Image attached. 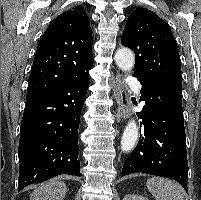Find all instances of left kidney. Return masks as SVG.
Segmentation results:
<instances>
[{
  "instance_id": "5707ae66",
  "label": "left kidney",
  "mask_w": 201,
  "mask_h": 200,
  "mask_svg": "<svg viewBox=\"0 0 201 200\" xmlns=\"http://www.w3.org/2000/svg\"><path fill=\"white\" fill-rule=\"evenodd\" d=\"M123 200H149V199L142 197L140 195L128 194V195H125Z\"/></svg>"
}]
</instances>
